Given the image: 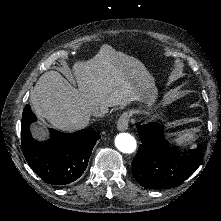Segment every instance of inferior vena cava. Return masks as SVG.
<instances>
[{
    "label": "inferior vena cava",
    "instance_id": "obj_1",
    "mask_svg": "<svg viewBox=\"0 0 221 221\" xmlns=\"http://www.w3.org/2000/svg\"><path fill=\"white\" fill-rule=\"evenodd\" d=\"M108 112V107L105 105H99L92 109V115L98 118H103Z\"/></svg>",
    "mask_w": 221,
    "mask_h": 221
}]
</instances>
